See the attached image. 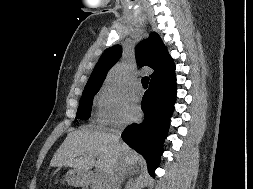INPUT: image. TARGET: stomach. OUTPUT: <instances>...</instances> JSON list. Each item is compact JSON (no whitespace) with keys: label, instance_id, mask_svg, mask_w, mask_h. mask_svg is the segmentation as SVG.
Segmentation results:
<instances>
[{"label":"stomach","instance_id":"1","mask_svg":"<svg viewBox=\"0 0 253 189\" xmlns=\"http://www.w3.org/2000/svg\"><path fill=\"white\" fill-rule=\"evenodd\" d=\"M90 175L85 171L70 170L65 175V181L72 186H81L87 183Z\"/></svg>","mask_w":253,"mask_h":189}]
</instances>
